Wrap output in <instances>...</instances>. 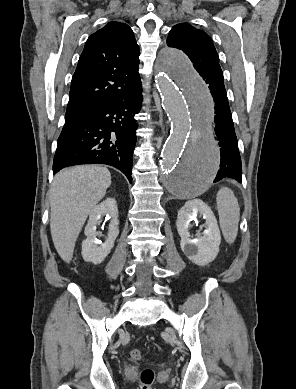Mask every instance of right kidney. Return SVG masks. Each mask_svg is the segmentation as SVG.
<instances>
[{
  "label": "right kidney",
  "mask_w": 296,
  "mask_h": 389,
  "mask_svg": "<svg viewBox=\"0 0 296 389\" xmlns=\"http://www.w3.org/2000/svg\"><path fill=\"white\" fill-rule=\"evenodd\" d=\"M103 217L110 220L108 236L104 243L97 239L101 236L97 226ZM118 225V208L114 198H107L92 209L84 231L86 239L82 242V257L86 262L97 265L104 261L119 234Z\"/></svg>",
  "instance_id": "obj_1"
}]
</instances>
